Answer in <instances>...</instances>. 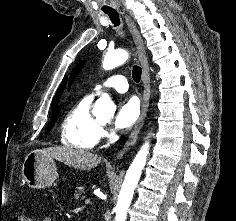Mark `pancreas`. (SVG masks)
<instances>
[{"label":"pancreas","mask_w":236,"mask_h":221,"mask_svg":"<svg viewBox=\"0 0 236 221\" xmlns=\"http://www.w3.org/2000/svg\"><path fill=\"white\" fill-rule=\"evenodd\" d=\"M79 190L74 193L75 200H82L85 198V192L83 187L78 188Z\"/></svg>","instance_id":"pancreas-1"}]
</instances>
